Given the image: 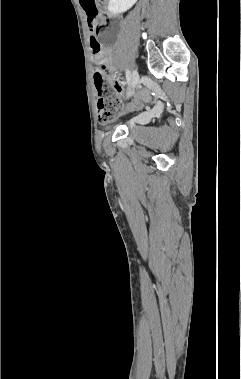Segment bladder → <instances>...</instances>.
I'll return each mask as SVG.
<instances>
[{"mask_svg":"<svg viewBox=\"0 0 241 379\" xmlns=\"http://www.w3.org/2000/svg\"><path fill=\"white\" fill-rule=\"evenodd\" d=\"M136 120H137V117H129V118H126L122 124L130 126L131 123L136 122Z\"/></svg>","mask_w":241,"mask_h":379,"instance_id":"bladder-1","label":"bladder"}]
</instances>
